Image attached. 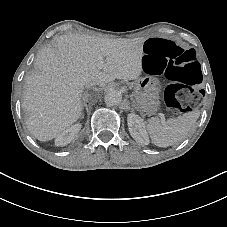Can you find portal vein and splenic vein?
<instances>
[{
    "mask_svg": "<svg viewBox=\"0 0 227 227\" xmlns=\"http://www.w3.org/2000/svg\"><path fill=\"white\" fill-rule=\"evenodd\" d=\"M159 117H160V120H161L162 122H165V121H166V117H165V115H164L163 113H160V114H159Z\"/></svg>",
    "mask_w": 227,
    "mask_h": 227,
    "instance_id": "obj_1",
    "label": "portal vein and splenic vein"
}]
</instances>
